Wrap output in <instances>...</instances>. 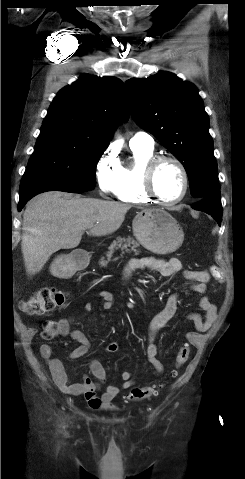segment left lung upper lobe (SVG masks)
<instances>
[{"mask_svg":"<svg viewBox=\"0 0 245 479\" xmlns=\"http://www.w3.org/2000/svg\"><path fill=\"white\" fill-rule=\"evenodd\" d=\"M126 88L133 118L183 164L191 195L203 199L219 191L209 118L197 88L170 72L130 79Z\"/></svg>","mask_w":245,"mask_h":479,"instance_id":"left-lung-upper-lobe-1","label":"left lung upper lobe"}]
</instances>
